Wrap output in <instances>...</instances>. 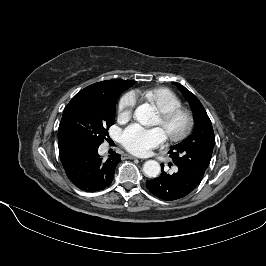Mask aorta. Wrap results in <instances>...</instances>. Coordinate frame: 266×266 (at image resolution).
I'll return each instance as SVG.
<instances>
[{"label": "aorta", "instance_id": "obj_1", "mask_svg": "<svg viewBox=\"0 0 266 266\" xmlns=\"http://www.w3.org/2000/svg\"><path fill=\"white\" fill-rule=\"evenodd\" d=\"M134 117L140 124L151 126L155 123L156 113L150 104H143L136 108ZM143 172L146 176L155 178L161 172L160 164L155 160H148L143 165Z\"/></svg>", "mask_w": 266, "mask_h": 266}]
</instances>
